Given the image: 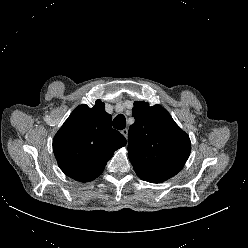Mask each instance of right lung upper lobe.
<instances>
[{
  "instance_id": "right-lung-upper-lobe-1",
  "label": "right lung upper lobe",
  "mask_w": 248,
  "mask_h": 248,
  "mask_svg": "<svg viewBox=\"0 0 248 248\" xmlns=\"http://www.w3.org/2000/svg\"><path fill=\"white\" fill-rule=\"evenodd\" d=\"M125 137L111 126V115L100 100L78 106L53 139V151L65 175L80 182L97 178Z\"/></svg>"
}]
</instances>
